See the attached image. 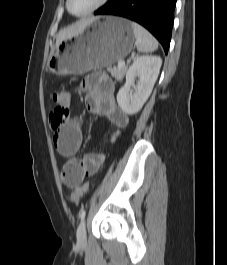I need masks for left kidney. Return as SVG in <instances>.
Listing matches in <instances>:
<instances>
[{"instance_id": "1", "label": "left kidney", "mask_w": 227, "mask_h": 265, "mask_svg": "<svg viewBox=\"0 0 227 265\" xmlns=\"http://www.w3.org/2000/svg\"><path fill=\"white\" fill-rule=\"evenodd\" d=\"M161 65L162 59L158 56H140L133 62L126 73V83L117 94V102L123 112L133 115L141 110L152 92ZM136 77L139 78L137 92L132 96L130 87Z\"/></svg>"}]
</instances>
